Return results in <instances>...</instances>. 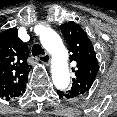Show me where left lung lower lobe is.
I'll return each instance as SVG.
<instances>
[{
  "label": "left lung lower lobe",
  "mask_w": 117,
  "mask_h": 117,
  "mask_svg": "<svg viewBox=\"0 0 117 117\" xmlns=\"http://www.w3.org/2000/svg\"><path fill=\"white\" fill-rule=\"evenodd\" d=\"M57 94L60 96V97H65L67 98V93L66 92H62V91H57Z\"/></svg>",
  "instance_id": "1"
}]
</instances>
